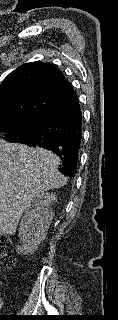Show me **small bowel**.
Listing matches in <instances>:
<instances>
[{"label":"small bowel","mask_w":118,"mask_h":320,"mask_svg":"<svg viewBox=\"0 0 118 320\" xmlns=\"http://www.w3.org/2000/svg\"><path fill=\"white\" fill-rule=\"evenodd\" d=\"M2 308H3V302H2V300L0 298V311L2 310Z\"/></svg>","instance_id":"small-bowel-1"}]
</instances>
